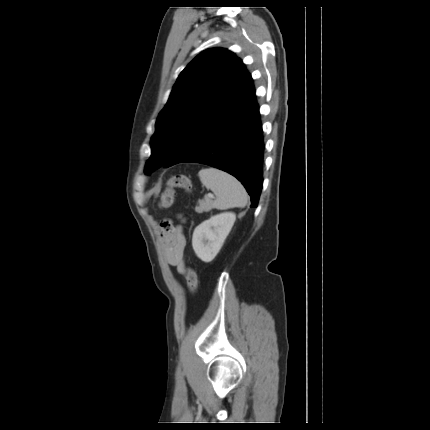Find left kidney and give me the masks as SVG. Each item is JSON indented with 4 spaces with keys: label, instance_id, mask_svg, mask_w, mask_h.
<instances>
[{
    "label": "left kidney",
    "instance_id": "1",
    "mask_svg": "<svg viewBox=\"0 0 430 430\" xmlns=\"http://www.w3.org/2000/svg\"><path fill=\"white\" fill-rule=\"evenodd\" d=\"M236 215L233 212H221L199 224L192 236L195 254L203 262H211L222 248L230 233Z\"/></svg>",
    "mask_w": 430,
    "mask_h": 430
}]
</instances>
